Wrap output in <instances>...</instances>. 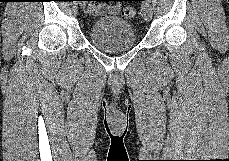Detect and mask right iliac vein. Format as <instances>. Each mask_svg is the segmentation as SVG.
<instances>
[{"mask_svg":"<svg viewBox=\"0 0 229 161\" xmlns=\"http://www.w3.org/2000/svg\"><path fill=\"white\" fill-rule=\"evenodd\" d=\"M81 9H85V4H81Z\"/></svg>","mask_w":229,"mask_h":161,"instance_id":"obj_1","label":"right iliac vein"}]
</instances>
